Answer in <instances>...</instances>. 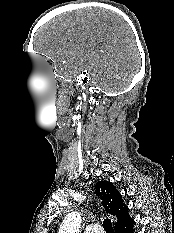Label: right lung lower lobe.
Listing matches in <instances>:
<instances>
[{"instance_id":"1","label":"right lung lower lobe","mask_w":174,"mask_h":233,"mask_svg":"<svg viewBox=\"0 0 174 233\" xmlns=\"http://www.w3.org/2000/svg\"><path fill=\"white\" fill-rule=\"evenodd\" d=\"M134 223L131 224L129 227L123 229L120 233H134Z\"/></svg>"}]
</instances>
